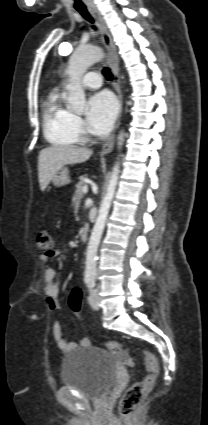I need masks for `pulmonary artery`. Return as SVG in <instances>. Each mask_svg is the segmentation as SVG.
<instances>
[{"label": "pulmonary artery", "instance_id": "e3ab8cb5", "mask_svg": "<svg viewBox=\"0 0 208 425\" xmlns=\"http://www.w3.org/2000/svg\"><path fill=\"white\" fill-rule=\"evenodd\" d=\"M82 85L90 89L99 88L102 85L101 77L96 72H89L83 78Z\"/></svg>", "mask_w": 208, "mask_h": 425}]
</instances>
